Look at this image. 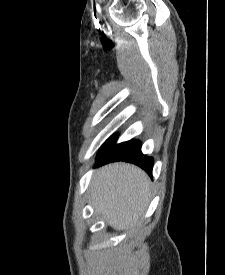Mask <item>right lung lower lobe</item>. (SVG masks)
Here are the masks:
<instances>
[{"instance_id":"1","label":"right lung lower lobe","mask_w":225,"mask_h":275,"mask_svg":"<svg viewBox=\"0 0 225 275\" xmlns=\"http://www.w3.org/2000/svg\"><path fill=\"white\" fill-rule=\"evenodd\" d=\"M116 140L117 135H113L106 141L98 154L97 165L125 161L138 165L152 175L153 159L142 154L140 141L130 140L115 144Z\"/></svg>"}]
</instances>
